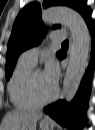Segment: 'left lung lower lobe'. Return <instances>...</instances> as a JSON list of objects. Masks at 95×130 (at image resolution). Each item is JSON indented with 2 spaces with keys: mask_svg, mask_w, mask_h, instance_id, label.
<instances>
[{
  "mask_svg": "<svg viewBox=\"0 0 95 130\" xmlns=\"http://www.w3.org/2000/svg\"><path fill=\"white\" fill-rule=\"evenodd\" d=\"M84 19L90 28V31L93 35V40L91 61L83 77L78 93L70 104H67L66 101H58L57 103L52 104L44 109V112L52 117L59 124H61L62 126H68L73 130H80V128L84 124V111L87 107L88 95L91 88L92 72L94 67V24L91 21L90 13L86 14L84 16ZM57 56L58 58L62 59L66 55L62 52H59Z\"/></svg>",
  "mask_w": 95,
  "mask_h": 130,
  "instance_id": "obj_1",
  "label": "left lung lower lobe"
}]
</instances>
